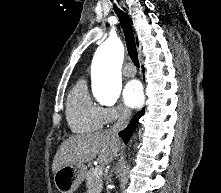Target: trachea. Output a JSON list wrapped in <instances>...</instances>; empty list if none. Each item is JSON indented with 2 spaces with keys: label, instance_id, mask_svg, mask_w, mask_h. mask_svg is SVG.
Here are the masks:
<instances>
[{
  "label": "trachea",
  "instance_id": "trachea-1",
  "mask_svg": "<svg viewBox=\"0 0 221 193\" xmlns=\"http://www.w3.org/2000/svg\"><path fill=\"white\" fill-rule=\"evenodd\" d=\"M113 8L120 19V23L124 32L126 46L128 50V55L131 58L132 62L135 64L136 67L139 68V60H138V53L135 45V38L133 35L132 27L129 22L127 15L120 10L115 4H113Z\"/></svg>",
  "mask_w": 221,
  "mask_h": 193
}]
</instances>
